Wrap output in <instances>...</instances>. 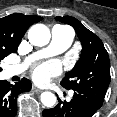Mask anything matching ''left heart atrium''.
I'll use <instances>...</instances> for the list:
<instances>
[{
  "instance_id": "1",
  "label": "left heart atrium",
  "mask_w": 117,
  "mask_h": 117,
  "mask_svg": "<svg viewBox=\"0 0 117 117\" xmlns=\"http://www.w3.org/2000/svg\"><path fill=\"white\" fill-rule=\"evenodd\" d=\"M61 73V66L57 61H48L39 64L33 69L32 77L35 82L45 84L53 76Z\"/></svg>"
}]
</instances>
